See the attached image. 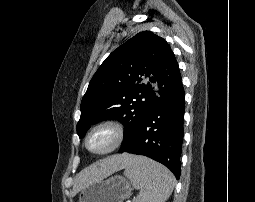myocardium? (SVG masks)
I'll return each instance as SVG.
<instances>
[{"instance_id":"f54148a6","label":"myocardium","mask_w":255,"mask_h":202,"mask_svg":"<svg viewBox=\"0 0 255 202\" xmlns=\"http://www.w3.org/2000/svg\"><path fill=\"white\" fill-rule=\"evenodd\" d=\"M102 129H107L113 134V142L112 144L105 150L102 151H94L90 148L89 146V139L90 137L97 131L102 130ZM125 139V128L123 124L114 119H108L101 121L97 124H95L87 133L85 137V147L86 149L96 155H106L109 154L113 151H115L117 148L121 146Z\"/></svg>"}]
</instances>
